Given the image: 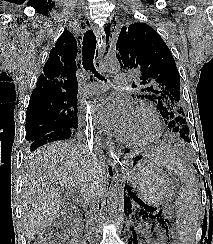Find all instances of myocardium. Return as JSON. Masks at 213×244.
<instances>
[{"instance_id": "obj_1", "label": "myocardium", "mask_w": 213, "mask_h": 244, "mask_svg": "<svg viewBox=\"0 0 213 244\" xmlns=\"http://www.w3.org/2000/svg\"><path fill=\"white\" fill-rule=\"evenodd\" d=\"M132 112H138L147 115L153 122L154 133L149 138L143 140H129L121 136L120 133H117L118 141L132 147H145L156 143L162 135L161 122L156 112L147 105L136 106L133 108Z\"/></svg>"}]
</instances>
